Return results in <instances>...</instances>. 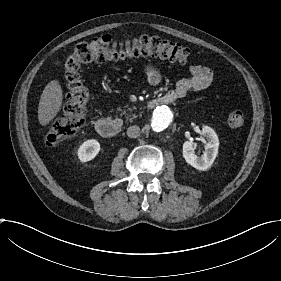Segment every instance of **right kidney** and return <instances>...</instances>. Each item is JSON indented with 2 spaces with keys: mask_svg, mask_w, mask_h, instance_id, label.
Returning <instances> with one entry per match:
<instances>
[{
  "mask_svg": "<svg viewBox=\"0 0 281 281\" xmlns=\"http://www.w3.org/2000/svg\"><path fill=\"white\" fill-rule=\"evenodd\" d=\"M101 149L100 143L96 139L84 141L77 150V158L81 163H86L97 157Z\"/></svg>",
  "mask_w": 281,
  "mask_h": 281,
  "instance_id": "right-kidney-1",
  "label": "right kidney"
}]
</instances>
